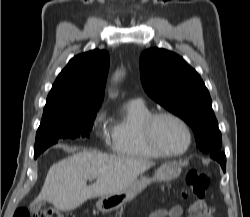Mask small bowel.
<instances>
[{
	"mask_svg": "<svg viewBox=\"0 0 250 217\" xmlns=\"http://www.w3.org/2000/svg\"><path fill=\"white\" fill-rule=\"evenodd\" d=\"M188 217H208L198 212L197 207L192 204L188 207ZM183 209L181 206L176 205L170 209H157L151 213L150 217H182Z\"/></svg>",
	"mask_w": 250,
	"mask_h": 217,
	"instance_id": "small-bowel-1",
	"label": "small bowel"
}]
</instances>
